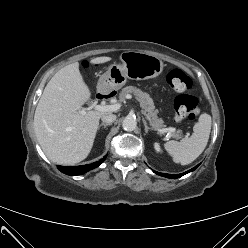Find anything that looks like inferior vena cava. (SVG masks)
Here are the masks:
<instances>
[{"label":"inferior vena cava","mask_w":248,"mask_h":248,"mask_svg":"<svg viewBox=\"0 0 248 248\" xmlns=\"http://www.w3.org/2000/svg\"><path fill=\"white\" fill-rule=\"evenodd\" d=\"M101 119L105 123H113L116 120V115L114 114L103 115Z\"/></svg>","instance_id":"1"}]
</instances>
